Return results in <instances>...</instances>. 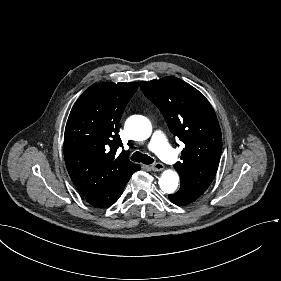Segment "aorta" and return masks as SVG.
<instances>
[{
  "label": "aorta",
  "mask_w": 281,
  "mask_h": 281,
  "mask_svg": "<svg viewBox=\"0 0 281 281\" xmlns=\"http://www.w3.org/2000/svg\"><path fill=\"white\" fill-rule=\"evenodd\" d=\"M125 129L129 136L136 141H143L150 137L152 133V126L150 121L143 116H135L130 118L126 124ZM179 176L173 170H165L159 179V186L165 193L171 194L175 192L178 187Z\"/></svg>",
  "instance_id": "obj_1"
}]
</instances>
